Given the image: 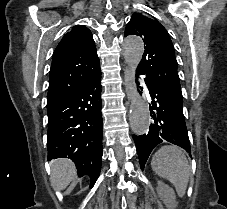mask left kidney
I'll list each match as a JSON object with an SVG mask.
<instances>
[{
	"mask_svg": "<svg viewBox=\"0 0 227 209\" xmlns=\"http://www.w3.org/2000/svg\"><path fill=\"white\" fill-rule=\"evenodd\" d=\"M157 193L163 201L164 205H166L167 209H176L177 207V201H176V195L171 189V187H168V185H165V183H161V181H157Z\"/></svg>",
	"mask_w": 227,
	"mask_h": 209,
	"instance_id": "left-kidney-1",
	"label": "left kidney"
}]
</instances>
